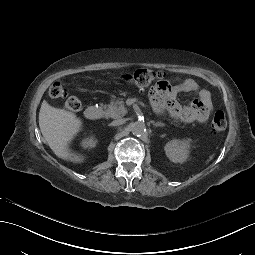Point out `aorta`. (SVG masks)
<instances>
[{"label": "aorta", "instance_id": "762f6f07", "mask_svg": "<svg viewBox=\"0 0 255 255\" xmlns=\"http://www.w3.org/2000/svg\"><path fill=\"white\" fill-rule=\"evenodd\" d=\"M130 127L133 135L140 136L146 131V126L142 121L133 122Z\"/></svg>", "mask_w": 255, "mask_h": 255}]
</instances>
